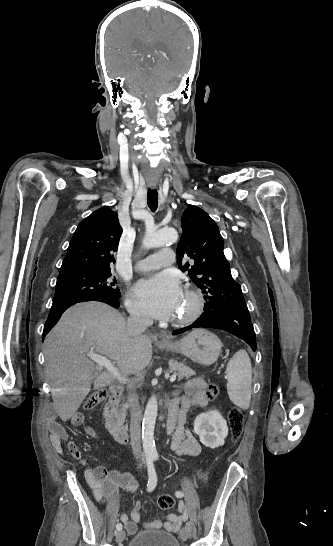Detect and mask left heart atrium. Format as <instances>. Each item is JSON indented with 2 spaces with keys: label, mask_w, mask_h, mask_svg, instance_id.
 I'll return each instance as SVG.
<instances>
[{
  "label": "left heart atrium",
  "mask_w": 333,
  "mask_h": 546,
  "mask_svg": "<svg viewBox=\"0 0 333 546\" xmlns=\"http://www.w3.org/2000/svg\"><path fill=\"white\" fill-rule=\"evenodd\" d=\"M182 293L178 277L170 271L141 280L135 287V294L145 311L159 319L173 317Z\"/></svg>",
  "instance_id": "39dd6f15"
}]
</instances>
